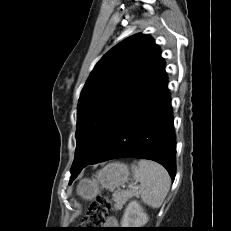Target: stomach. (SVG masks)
<instances>
[{
    "label": "stomach",
    "mask_w": 231,
    "mask_h": 231,
    "mask_svg": "<svg viewBox=\"0 0 231 231\" xmlns=\"http://www.w3.org/2000/svg\"><path fill=\"white\" fill-rule=\"evenodd\" d=\"M129 174L126 164L110 163L97 173L96 178L81 180L77 192L82 198L92 200L103 188L111 191L120 188L128 181Z\"/></svg>",
    "instance_id": "stomach-1"
}]
</instances>
